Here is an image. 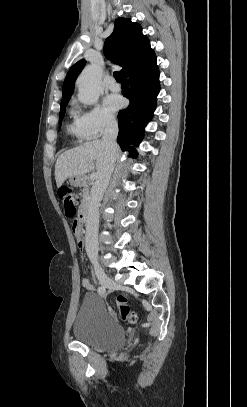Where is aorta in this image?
I'll return each mask as SVG.
<instances>
[{
	"label": "aorta",
	"instance_id": "aorta-1",
	"mask_svg": "<svg viewBox=\"0 0 247 407\" xmlns=\"http://www.w3.org/2000/svg\"><path fill=\"white\" fill-rule=\"evenodd\" d=\"M102 69L97 65L86 67L78 77V99L87 105L95 104L102 92Z\"/></svg>",
	"mask_w": 247,
	"mask_h": 407
}]
</instances>
